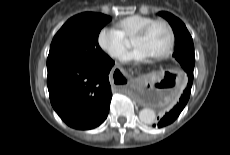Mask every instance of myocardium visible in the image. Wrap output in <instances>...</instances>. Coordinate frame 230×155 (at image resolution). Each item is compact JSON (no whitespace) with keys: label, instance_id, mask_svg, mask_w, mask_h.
I'll return each instance as SVG.
<instances>
[{"label":"myocardium","instance_id":"1","mask_svg":"<svg viewBox=\"0 0 230 155\" xmlns=\"http://www.w3.org/2000/svg\"><path fill=\"white\" fill-rule=\"evenodd\" d=\"M159 23L165 25L167 30H168V32H169V43H168L167 48L162 53L153 57L156 60H161V59L169 57L174 50L176 37H175V32H174L172 25L165 19H161V18L160 19H154L151 22H149L148 24H146L144 27H142L134 36V38H140V37L146 36L150 32L152 27L156 24H159Z\"/></svg>","mask_w":230,"mask_h":155}]
</instances>
